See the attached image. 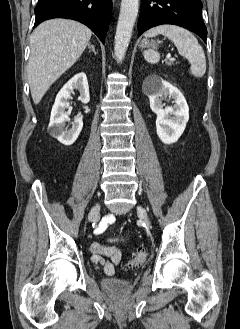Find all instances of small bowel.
<instances>
[{"mask_svg": "<svg viewBox=\"0 0 240 329\" xmlns=\"http://www.w3.org/2000/svg\"><path fill=\"white\" fill-rule=\"evenodd\" d=\"M114 220V215H107L99 224L98 231H105ZM90 251L92 253L91 261L93 264L101 267L106 275L112 276L115 274L116 266L119 265L121 261V252L117 247L92 243L90 245Z\"/></svg>", "mask_w": 240, "mask_h": 329, "instance_id": "1", "label": "small bowel"}]
</instances>
